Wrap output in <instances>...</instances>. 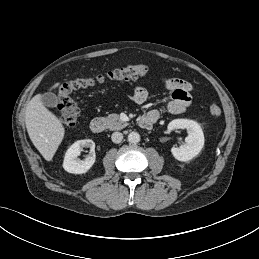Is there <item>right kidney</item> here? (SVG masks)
Instances as JSON below:
<instances>
[{
	"label": "right kidney",
	"mask_w": 259,
	"mask_h": 259,
	"mask_svg": "<svg viewBox=\"0 0 259 259\" xmlns=\"http://www.w3.org/2000/svg\"><path fill=\"white\" fill-rule=\"evenodd\" d=\"M84 147L90 148L89 155L84 160L77 157L81 154ZM96 160L95 143L91 139L78 140L74 142L66 151L63 168L65 171L73 174L86 173Z\"/></svg>",
	"instance_id": "ca27d5eb"
}]
</instances>
